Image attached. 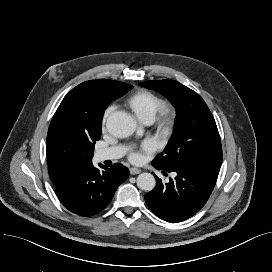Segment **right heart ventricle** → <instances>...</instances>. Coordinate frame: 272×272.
I'll return each instance as SVG.
<instances>
[{
  "mask_svg": "<svg viewBox=\"0 0 272 272\" xmlns=\"http://www.w3.org/2000/svg\"><path fill=\"white\" fill-rule=\"evenodd\" d=\"M128 106L142 122H152L163 104V100L149 90H140L127 101Z\"/></svg>",
  "mask_w": 272,
  "mask_h": 272,
  "instance_id": "1",
  "label": "right heart ventricle"
}]
</instances>
